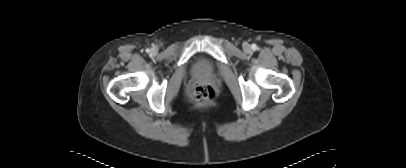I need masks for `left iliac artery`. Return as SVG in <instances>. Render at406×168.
<instances>
[{"label":"left iliac artery","mask_w":406,"mask_h":168,"mask_svg":"<svg viewBox=\"0 0 406 168\" xmlns=\"http://www.w3.org/2000/svg\"><path fill=\"white\" fill-rule=\"evenodd\" d=\"M256 48H257V47L254 45V46H253V49L255 50Z\"/></svg>","instance_id":"1"}]
</instances>
